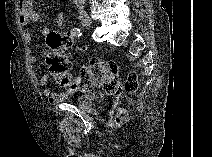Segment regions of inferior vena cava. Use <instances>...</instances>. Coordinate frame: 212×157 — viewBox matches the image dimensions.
<instances>
[{
	"instance_id": "602c4592",
	"label": "inferior vena cava",
	"mask_w": 212,
	"mask_h": 157,
	"mask_svg": "<svg viewBox=\"0 0 212 157\" xmlns=\"http://www.w3.org/2000/svg\"><path fill=\"white\" fill-rule=\"evenodd\" d=\"M84 3H85L84 0H75V4H77V7L79 9H83L84 8Z\"/></svg>"
}]
</instances>
